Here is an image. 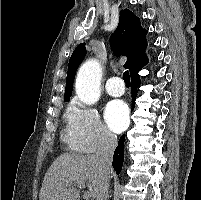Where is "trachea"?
Segmentation results:
<instances>
[{
  "instance_id": "3493384b",
  "label": "trachea",
  "mask_w": 201,
  "mask_h": 200,
  "mask_svg": "<svg viewBox=\"0 0 201 200\" xmlns=\"http://www.w3.org/2000/svg\"><path fill=\"white\" fill-rule=\"evenodd\" d=\"M123 80L127 86L130 85V75H129V72L127 70L123 73Z\"/></svg>"
}]
</instances>
